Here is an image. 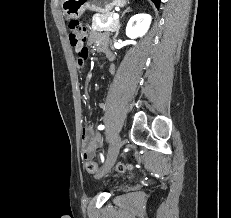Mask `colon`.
<instances>
[{
  "instance_id": "5ec220e1",
  "label": "colon",
  "mask_w": 231,
  "mask_h": 218,
  "mask_svg": "<svg viewBox=\"0 0 231 218\" xmlns=\"http://www.w3.org/2000/svg\"><path fill=\"white\" fill-rule=\"evenodd\" d=\"M68 36L69 41L73 47L81 46L80 51L77 54V58H82V56H89V51L85 47V42L87 40V29L78 21L70 20L68 23ZM86 170L89 173H97L99 171V166L97 162L93 160H88L85 164ZM130 166L120 164L117 166L118 172H125Z\"/></svg>"
}]
</instances>
